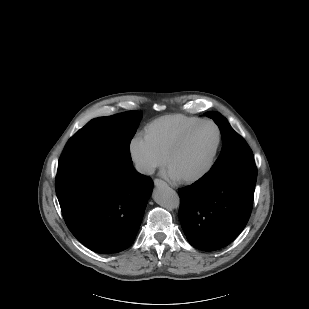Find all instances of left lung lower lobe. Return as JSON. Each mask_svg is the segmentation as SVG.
<instances>
[{
  "label": "left lung lower lobe",
  "instance_id": "left-lung-lower-lobe-1",
  "mask_svg": "<svg viewBox=\"0 0 309 309\" xmlns=\"http://www.w3.org/2000/svg\"><path fill=\"white\" fill-rule=\"evenodd\" d=\"M256 176L254 157L248 155L179 189V219L192 246L214 251L238 236L251 214Z\"/></svg>",
  "mask_w": 309,
  "mask_h": 309
}]
</instances>
